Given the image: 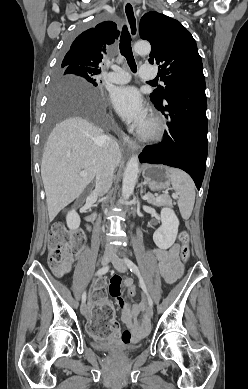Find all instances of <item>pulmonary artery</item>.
I'll return each mask as SVG.
<instances>
[{
    "instance_id": "1",
    "label": "pulmonary artery",
    "mask_w": 248,
    "mask_h": 389,
    "mask_svg": "<svg viewBox=\"0 0 248 389\" xmlns=\"http://www.w3.org/2000/svg\"><path fill=\"white\" fill-rule=\"evenodd\" d=\"M141 78L144 80H152L155 78V73L150 65L143 64L141 65L140 72H139ZM131 78V75L128 71L114 65L113 71L109 72L106 75V80L117 83V84H123L127 83Z\"/></svg>"
}]
</instances>
